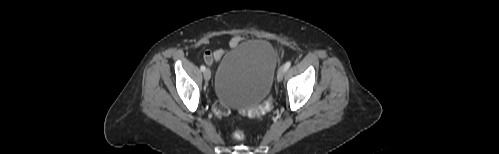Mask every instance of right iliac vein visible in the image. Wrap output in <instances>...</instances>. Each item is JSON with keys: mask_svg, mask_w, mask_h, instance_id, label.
<instances>
[{"mask_svg": "<svg viewBox=\"0 0 499 154\" xmlns=\"http://www.w3.org/2000/svg\"><path fill=\"white\" fill-rule=\"evenodd\" d=\"M210 78H211V72H210V70L207 68V69H205V71H204V79H205V81H209V80H210Z\"/></svg>", "mask_w": 499, "mask_h": 154, "instance_id": "1", "label": "right iliac vein"}]
</instances>
